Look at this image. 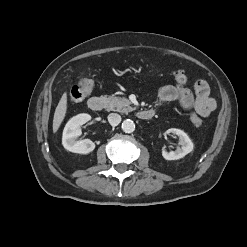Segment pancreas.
Instances as JSON below:
<instances>
[{
  "label": "pancreas",
  "instance_id": "obj_1",
  "mask_svg": "<svg viewBox=\"0 0 247 247\" xmlns=\"http://www.w3.org/2000/svg\"><path fill=\"white\" fill-rule=\"evenodd\" d=\"M108 100V110L117 111L120 113L127 114L136 109V107L131 106V102L126 98L109 96Z\"/></svg>",
  "mask_w": 247,
  "mask_h": 247
}]
</instances>
